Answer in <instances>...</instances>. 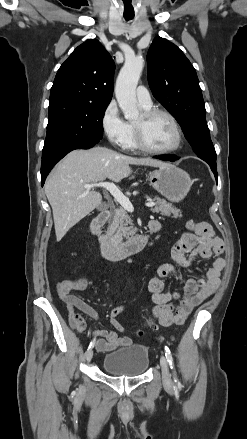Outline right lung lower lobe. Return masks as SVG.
Instances as JSON below:
<instances>
[{"instance_id":"obj_1","label":"right lung lower lobe","mask_w":247,"mask_h":439,"mask_svg":"<svg viewBox=\"0 0 247 439\" xmlns=\"http://www.w3.org/2000/svg\"><path fill=\"white\" fill-rule=\"evenodd\" d=\"M95 144L92 145H82V146H76L71 147L68 149H63L51 154H48L44 157H42V163H41V183L42 186L44 185L45 179L53 166L59 162L66 154H68L70 151L75 149H89L92 148Z\"/></svg>"}]
</instances>
